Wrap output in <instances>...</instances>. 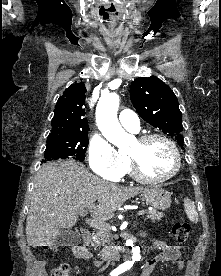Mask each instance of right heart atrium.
I'll return each instance as SVG.
<instances>
[{
	"mask_svg": "<svg viewBox=\"0 0 221 276\" xmlns=\"http://www.w3.org/2000/svg\"><path fill=\"white\" fill-rule=\"evenodd\" d=\"M88 163L98 176L110 181H117L124 175L128 159L106 139L95 136L91 139L88 147Z\"/></svg>",
	"mask_w": 221,
	"mask_h": 276,
	"instance_id": "d8ad5b80",
	"label": "right heart atrium"
}]
</instances>
